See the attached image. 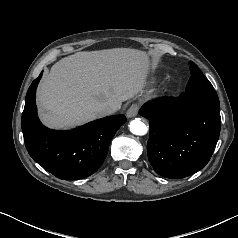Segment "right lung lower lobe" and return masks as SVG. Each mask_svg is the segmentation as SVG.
<instances>
[{
  "instance_id": "obj_1",
  "label": "right lung lower lobe",
  "mask_w": 238,
  "mask_h": 238,
  "mask_svg": "<svg viewBox=\"0 0 238 238\" xmlns=\"http://www.w3.org/2000/svg\"><path fill=\"white\" fill-rule=\"evenodd\" d=\"M35 79L26 94L21 126L30 156L48 172L65 180L93 174L104 162L111 139L126 122L124 115L109 116L69 131L46 128L37 116Z\"/></svg>"
}]
</instances>
